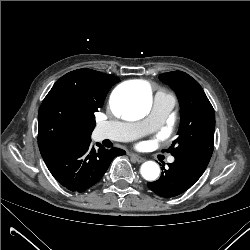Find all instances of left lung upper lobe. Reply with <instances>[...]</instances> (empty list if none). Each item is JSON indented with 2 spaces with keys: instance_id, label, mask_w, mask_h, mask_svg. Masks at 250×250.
<instances>
[{
  "instance_id": "1",
  "label": "left lung upper lobe",
  "mask_w": 250,
  "mask_h": 250,
  "mask_svg": "<svg viewBox=\"0 0 250 250\" xmlns=\"http://www.w3.org/2000/svg\"><path fill=\"white\" fill-rule=\"evenodd\" d=\"M159 79L176 92L181 108L178 138L166 151L175 156L188 150L213 148L215 114L202 87L182 71L163 73Z\"/></svg>"
}]
</instances>
